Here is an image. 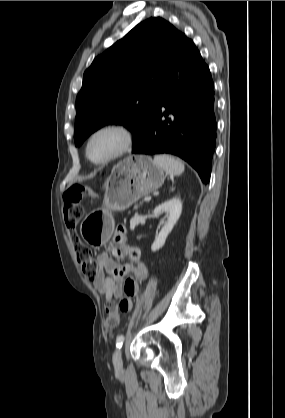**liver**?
I'll return each mask as SVG.
<instances>
[{
	"mask_svg": "<svg viewBox=\"0 0 285 418\" xmlns=\"http://www.w3.org/2000/svg\"><path fill=\"white\" fill-rule=\"evenodd\" d=\"M108 182H109V179H107V182L105 183V187H107V185H108Z\"/></svg>",
	"mask_w": 285,
	"mask_h": 418,
	"instance_id": "liver-1",
	"label": "liver"
}]
</instances>
